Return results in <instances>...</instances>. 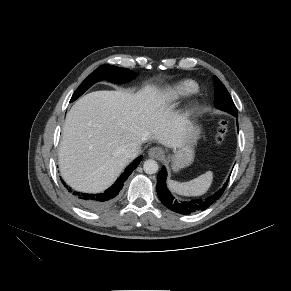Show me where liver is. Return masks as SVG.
<instances>
[{"mask_svg": "<svg viewBox=\"0 0 291 291\" xmlns=\"http://www.w3.org/2000/svg\"><path fill=\"white\" fill-rule=\"evenodd\" d=\"M190 121L174 113L169 97L155 87L137 93L95 91L80 98L67 113L59 147L64 180L85 192L110 186L132 159L124 154L130 143L156 140L178 148Z\"/></svg>", "mask_w": 291, "mask_h": 291, "instance_id": "liver-1", "label": "liver"}]
</instances>
